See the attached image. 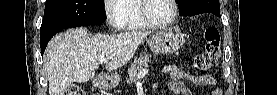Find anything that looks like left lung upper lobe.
<instances>
[{
	"mask_svg": "<svg viewBox=\"0 0 277 95\" xmlns=\"http://www.w3.org/2000/svg\"><path fill=\"white\" fill-rule=\"evenodd\" d=\"M181 16L213 13L220 17L219 0H176Z\"/></svg>",
	"mask_w": 277,
	"mask_h": 95,
	"instance_id": "obj_1",
	"label": "left lung upper lobe"
}]
</instances>
